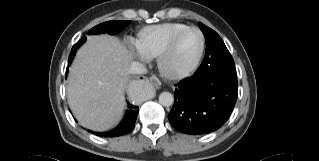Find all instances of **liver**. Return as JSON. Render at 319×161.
I'll return each instance as SVG.
<instances>
[{"mask_svg": "<svg viewBox=\"0 0 319 161\" xmlns=\"http://www.w3.org/2000/svg\"><path fill=\"white\" fill-rule=\"evenodd\" d=\"M132 58L119 39L109 35L90 36L78 50L70 68L67 97L82 126L105 131L119 121Z\"/></svg>", "mask_w": 319, "mask_h": 161, "instance_id": "6515ba94", "label": "liver"}]
</instances>
